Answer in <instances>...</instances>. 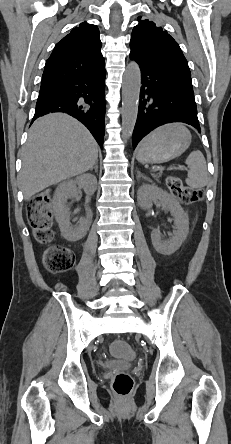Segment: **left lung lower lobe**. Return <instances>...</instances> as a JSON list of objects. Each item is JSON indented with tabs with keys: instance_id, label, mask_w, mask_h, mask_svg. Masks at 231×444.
I'll return each mask as SVG.
<instances>
[{
	"instance_id": "0a47b994",
	"label": "left lung lower lobe",
	"mask_w": 231,
	"mask_h": 444,
	"mask_svg": "<svg viewBox=\"0 0 231 444\" xmlns=\"http://www.w3.org/2000/svg\"><path fill=\"white\" fill-rule=\"evenodd\" d=\"M139 67L142 86L133 147L150 131L166 123L184 122L200 132L192 84L159 67Z\"/></svg>"
}]
</instances>
